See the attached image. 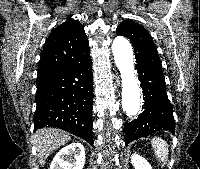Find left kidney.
Masks as SVG:
<instances>
[{"label":"left kidney","mask_w":200,"mask_h":169,"mask_svg":"<svg viewBox=\"0 0 200 169\" xmlns=\"http://www.w3.org/2000/svg\"><path fill=\"white\" fill-rule=\"evenodd\" d=\"M131 163L135 169H152L149 162L145 158L136 153L132 154Z\"/></svg>","instance_id":"left-kidney-1"}]
</instances>
